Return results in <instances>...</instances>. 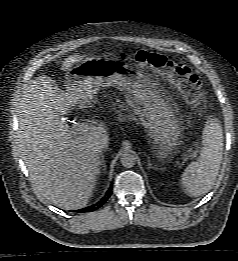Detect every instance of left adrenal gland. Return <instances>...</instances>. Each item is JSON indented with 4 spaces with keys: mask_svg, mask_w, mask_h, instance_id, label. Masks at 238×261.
Here are the masks:
<instances>
[{
    "mask_svg": "<svg viewBox=\"0 0 238 261\" xmlns=\"http://www.w3.org/2000/svg\"><path fill=\"white\" fill-rule=\"evenodd\" d=\"M148 167L153 168V169H157V167L153 166L152 163L150 162V157H148Z\"/></svg>",
    "mask_w": 238,
    "mask_h": 261,
    "instance_id": "1",
    "label": "left adrenal gland"
}]
</instances>
